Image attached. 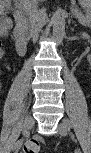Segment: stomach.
I'll return each instance as SVG.
<instances>
[{
	"mask_svg": "<svg viewBox=\"0 0 91 153\" xmlns=\"http://www.w3.org/2000/svg\"><path fill=\"white\" fill-rule=\"evenodd\" d=\"M79 3L87 10H90L91 1L90 0H80Z\"/></svg>",
	"mask_w": 91,
	"mask_h": 153,
	"instance_id": "stomach-1",
	"label": "stomach"
}]
</instances>
